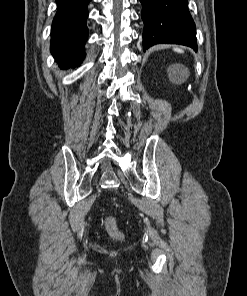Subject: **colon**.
I'll list each match as a JSON object with an SVG mask.
<instances>
[{
  "mask_svg": "<svg viewBox=\"0 0 247 296\" xmlns=\"http://www.w3.org/2000/svg\"><path fill=\"white\" fill-rule=\"evenodd\" d=\"M105 227L108 233L114 237H119L121 235L116 220L113 217H108L105 222Z\"/></svg>",
  "mask_w": 247,
  "mask_h": 296,
  "instance_id": "1",
  "label": "colon"
}]
</instances>
